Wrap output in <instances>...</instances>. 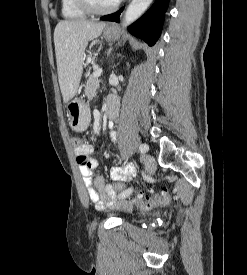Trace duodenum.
<instances>
[{
    "label": "duodenum",
    "mask_w": 247,
    "mask_h": 275,
    "mask_svg": "<svg viewBox=\"0 0 247 275\" xmlns=\"http://www.w3.org/2000/svg\"><path fill=\"white\" fill-rule=\"evenodd\" d=\"M118 110V106L115 103H109L107 106L106 114L108 118H114Z\"/></svg>",
    "instance_id": "obj_1"
}]
</instances>
